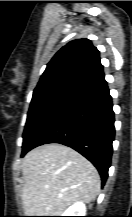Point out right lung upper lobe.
Wrapping results in <instances>:
<instances>
[{"instance_id":"obj_1","label":"right lung upper lobe","mask_w":132,"mask_h":217,"mask_svg":"<svg viewBox=\"0 0 132 217\" xmlns=\"http://www.w3.org/2000/svg\"><path fill=\"white\" fill-rule=\"evenodd\" d=\"M99 51L88 39L62 47L47 64L33 96L67 91L77 96L106 85Z\"/></svg>"}]
</instances>
